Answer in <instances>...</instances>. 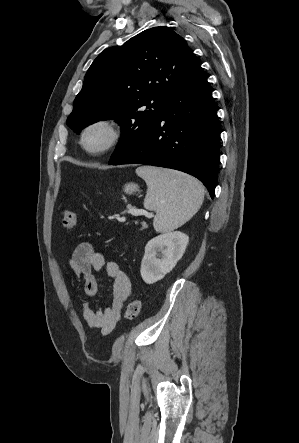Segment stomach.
<instances>
[{"label":"stomach","instance_id":"obj_1","mask_svg":"<svg viewBox=\"0 0 299 443\" xmlns=\"http://www.w3.org/2000/svg\"><path fill=\"white\" fill-rule=\"evenodd\" d=\"M137 191H139V186L135 183H128L124 187V192H126L127 194H133Z\"/></svg>","mask_w":299,"mask_h":443}]
</instances>
